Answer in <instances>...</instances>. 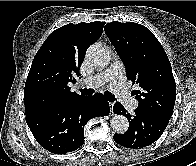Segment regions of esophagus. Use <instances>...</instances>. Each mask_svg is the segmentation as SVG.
Masks as SVG:
<instances>
[{"instance_id": "34e87169", "label": "esophagus", "mask_w": 196, "mask_h": 166, "mask_svg": "<svg viewBox=\"0 0 196 166\" xmlns=\"http://www.w3.org/2000/svg\"><path fill=\"white\" fill-rule=\"evenodd\" d=\"M109 106H110V113H111V115H113L114 114V112H113L114 103L110 102Z\"/></svg>"}]
</instances>
